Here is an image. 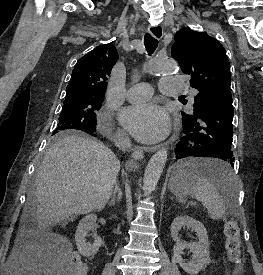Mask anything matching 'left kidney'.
Returning <instances> with one entry per match:
<instances>
[{
  "instance_id": "5707ae66",
  "label": "left kidney",
  "mask_w": 263,
  "mask_h": 275,
  "mask_svg": "<svg viewBox=\"0 0 263 275\" xmlns=\"http://www.w3.org/2000/svg\"><path fill=\"white\" fill-rule=\"evenodd\" d=\"M185 226L196 232L198 242L186 243L180 240L179 231ZM171 236L175 241L172 261L178 263L185 272L190 275H197L210 263L207 231L201 222L190 216H177L171 224ZM186 248L193 253L192 260L187 263L182 259L183 250Z\"/></svg>"
}]
</instances>
